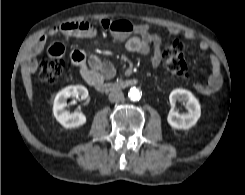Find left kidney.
Masks as SVG:
<instances>
[{
    "label": "left kidney",
    "instance_id": "left-kidney-1",
    "mask_svg": "<svg viewBox=\"0 0 245 195\" xmlns=\"http://www.w3.org/2000/svg\"><path fill=\"white\" fill-rule=\"evenodd\" d=\"M169 101L172 108L167 116V121L172 128L186 130L196 124L201 116V106L190 91L180 88L174 89L169 95ZM177 101L186 103L187 113H179L174 109Z\"/></svg>",
    "mask_w": 245,
    "mask_h": 195
}]
</instances>
